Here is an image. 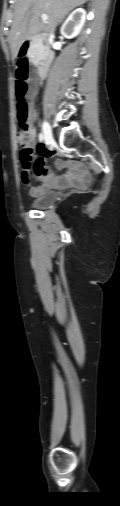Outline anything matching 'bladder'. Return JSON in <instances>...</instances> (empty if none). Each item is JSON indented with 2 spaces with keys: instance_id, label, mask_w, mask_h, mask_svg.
Instances as JSON below:
<instances>
[{
  "instance_id": "31cf9c89",
  "label": "bladder",
  "mask_w": 120,
  "mask_h": 506,
  "mask_svg": "<svg viewBox=\"0 0 120 506\" xmlns=\"http://www.w3.org/2000/svg\"><path fill=\"white\" fill-rule=\"evenodd\" d=\"M58 198L56 192H47L37 198H34L30 202V206L34 209L44 210L53 205Z\"/></svg>"
}]
</instances>
